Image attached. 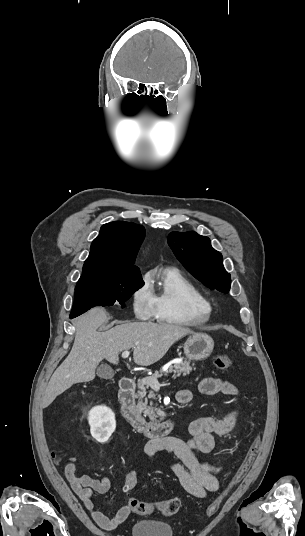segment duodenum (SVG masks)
Returning <instances> with one entry per match:
<instances>
[{
	"label": "duodenum",
	"instance_id": "410a0bca",
	"mask_svg": "<svg viewBox=\"0 0 305 536\" xmlns=\"http://www.w3.org/2000/svg\"><path fill=\"white\" fill-rule=\"evenodd\" d=\"M119 401L121 405V415L137 432L154 439L167 435L174 427V420L167 418L162 422H147L135 404V382L124 377L120 383Z\"/></svg>",
	"mask_w": 305,
	"mask_h": 536
}]
</instances>
